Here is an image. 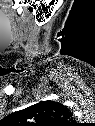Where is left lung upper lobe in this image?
<instances>
[{"instance_id":"left-lung-upper-lobe-1","label":"left lung upper lobe","mask_w":95,"mask_h":126,"mask_svg":"<svg viewBox=\"0 0 95 126\" xmlns=\"http://www.w3.org/2000/svg\"><path fill=\"white\" fill-rule=\"evenodd\" d=\"M8 119L17 126H71L73 122L70 110L52 100L40 101L12 113Z\"/></svg>"}]
</instances>
